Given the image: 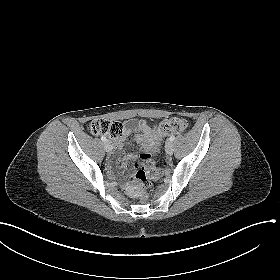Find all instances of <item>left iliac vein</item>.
Wrapping results in <instances>:
<instances>
[{"label":"left iliac vein","mask_w":280,"mask_h":280,"mask_svg":"<svg viewBox=\"0 0 280 280\" xmlns=\"http://www.w3.org/2000/svg\"><path fill=\"white\" fill-rule=\"evenodd\" d=\"M165 148H166L165 150H166L167 154H169V155L173 154V152H174V145H173V143L171 141H168L166 143V147Z\"/></svg>","instance_id":"obj_1"}]
</instances>
